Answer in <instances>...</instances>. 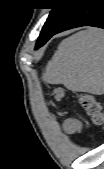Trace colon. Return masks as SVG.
<instances>
[{"mask_svg":"<svg viewBox=\"0 0 104 169\" xmlns=\"http://www.w3.org/2000/svg\"><path fill=\"white\" fill-rule=\"evenodd\" d=\"M64 94L63 87H57L56 98L60 100ZM80 104L86 114L91 118L94 124L101 125L103 123V114L101 104L91 94H82L79 98Z\"/></svg>","mask_w":104,"mask_h":169,"instance_id":"obj_1","label":"colon"}]
</instances>
